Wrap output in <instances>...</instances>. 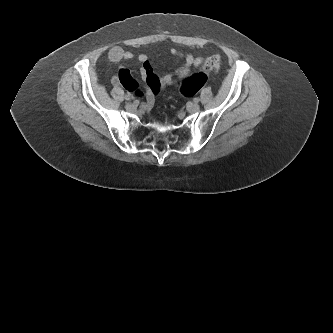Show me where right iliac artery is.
I'll list each match as a JSON object with an SVG mask.
<instances>
[{"mask_svg": "<svg viewBox=\"0 0 333 333\" xmlns=\"http://www.w3.org/2000/svg\"><path fill=\"white\" fill-rule=\"evenodd\" d=\"M125 99L126 100H131V96L128 94V95L125 96Z\"/></svg>", "mask_w": 333, "mask_h": 333, "instance_id": "82829eb1", "label": "right iliac artery"}]
</instances>
